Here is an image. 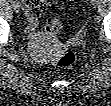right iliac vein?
<instances>
[{"label":"right iliac vein","instance_id":"obj_1","mask_svg":"<svg viewBox=\"0 0 111 106\" xmlns=\"http://www.w3.org/2000/svg\"><path fill=\"white\" fill-rule=\"evenodd\" d=\"M13 9L15 12H19L20 11V5L18 3H14L13 4Z\"/></svg>","mask_w":111,"mask_h":106}]
</instances>
